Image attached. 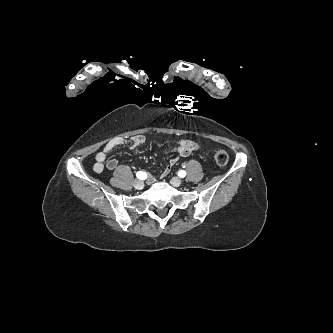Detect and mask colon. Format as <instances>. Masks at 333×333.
<instances>
[{"mask_svg": "<svg viewBox=\"0 0 333 333\" xmlns=\"http://www.w3.org/2000/svg\"><path fill=\"white\" fill-rule=\"evenodd\" d=\"M213 157H214L215 162L219 166L226 165L227 162H228V160H229L227 152L225 150H223V149H216L214 151Z\"/></svg>", "mask_w": 333, "mask_h": 333, "instance_id": "1", "label": "colon"}]
</instances>
